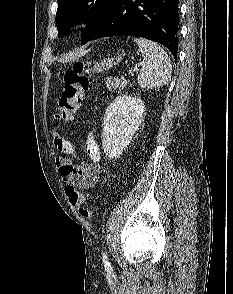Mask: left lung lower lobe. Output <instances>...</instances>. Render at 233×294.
<instances>
[{
	"mask_svg": "<svg viewBox=\"0 0 233 294\" xmlns=\"http://www.w3.org/2000/svg\"><path fill=\"white\" fill-rule=\"evenodd\" d=\"M178 0H114L88 41L138 36L166 46L177 57Z\"/></svg>",
	"mask_w": 233,
	"mask_h": 294,
	"instance_id": "1",
	"label": "left lung lower lobe"
}]
</instances>
